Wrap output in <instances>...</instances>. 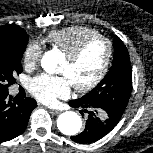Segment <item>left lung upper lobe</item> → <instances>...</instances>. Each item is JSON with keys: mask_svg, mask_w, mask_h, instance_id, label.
Returning a JSON list of instances; mask_svg holds the SVG:
<instances>
[{"mask_svg": "<svg viewBox=\"0 0 153 153\" xmlns=\"http://www.w3.org/2000/svg\"><path fill=\"white\" fill-rule=\"evenodd\" d=\"M114 49L113 64L105 78L77 100L97 105L109 117L119 121L132 91V67L127 48L119 38L114 40Z\"/></svg>", "mask_w": 153, "mask_h": 153, "instance_id": "1", "label": "left lung upper lobe"}]
</instances>
